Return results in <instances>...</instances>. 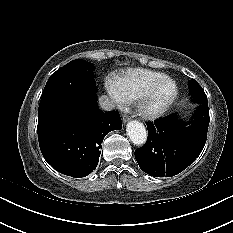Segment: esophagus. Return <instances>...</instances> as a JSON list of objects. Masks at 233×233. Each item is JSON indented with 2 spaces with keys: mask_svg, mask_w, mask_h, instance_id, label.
I'll return each mask as SVG.
<instances>
[{
  "mask_svg": "<svg viewBox=\"0 0 233 233\" xmlns=\"http://www.w3.org/2000/svg\"><path fill=\"white\" fill-rule=\"evenodd\" d=\"M129 120H130V117H129L128 115L124 114V115L122 116V121H123L124 123L128 122Z\"/></svg>",
  "mask_w": 233,
  "mask_h": 233,
  "instance_id": "34e87169",
  "label": "esophagus"
}]
</instances>
